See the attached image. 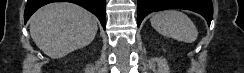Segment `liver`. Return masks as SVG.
Instances as JSON below:
<instances>
[{"mask_svg": "<svg viewBox=\"0 0 244 73\" xmlns=\"http://www.w3.org/2000/svg\"><path fill=\"white\" fill-rule=\"evenodd\" d=\"M97 30V18L70 2L49 3L30 18L33 41L52 59L62 58L89 45Z\"/></svg>", "mask_w": 244, "mask_h": 73, "instance_id": "liver-1", "label": "liver"}]
</instances>
